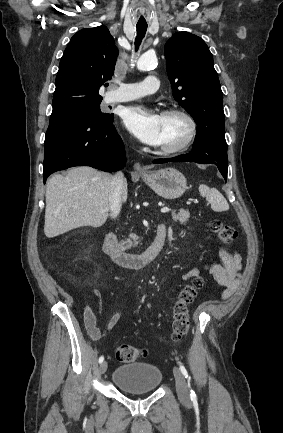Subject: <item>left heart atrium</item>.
I'll list each match as a JSON object with an SVG mask.
<instances>
[{
  "mask_svg": "<svg viewBox=\"0 0 283 433\" xmlns=\"http://www.w3.org/2000/svg\"><path fill=\"white\" fill-rule=\"evenodd\" d=\"M122 119L126 128L144 145L160 150L164 140L162 115L144 105H134L124 110Z\"/></svg>",
  "mask_w": 283,
  "mask_h": 433,
  "instance_id": "left-heart-atrium-1",
  "label": "left heart atrium"
}]
</instances>
